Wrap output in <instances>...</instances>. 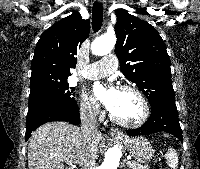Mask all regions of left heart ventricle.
<instances>
[{
  "mask_svg": "<svg viewBox=\"0 0 200 169\" xmlns=\"http://www.w3.org/2000/svg\"><path fill=\"white\" fill-rule=\"evenodd\" d=\"M142 111L141 101L136 94L129 91H119L111 113L120 120L134 122L141 117Z\"/></svg>",
  "mask_w": 200,
  "mask_h": 169,
  "instance_id": "b2bd125f",
  "label": "left heart ventricle"
}]
</instances>
